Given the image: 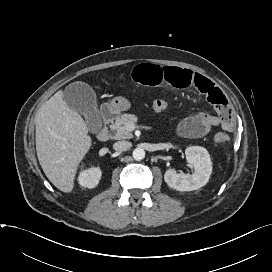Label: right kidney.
<instances>
[{
    "instance_id": "1",
    "label": "right kidney",
    "mask_w": 272,
    "mask_h": 272,
    "mask_svg": "<svg viewBox=\"0 0 272 272\" xmlns=\"http://www.w3.org/2000/svg\"><path fill=\"white\" fill-rule=\"evenodd\" d=\"M101 170L98 167H92L80 172L78 182L82 187L94 188L99 183L101 178Z\"/></svg>"
}]
</instances>
